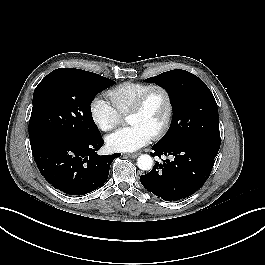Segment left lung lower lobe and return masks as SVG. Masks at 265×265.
Returning <instances> with one entry per match:
<instances>
[{"label": "left lung lower lobe", "mask_w": 265, "mask_h": 265, "mask_svg": "<svg viewBox=\"0 0 265 265\" xmlns=\"http://www.w3.org/2000/svg\"><path fill=\"white\" fill-rule=\"evenodd\" d=\"M154 153L172 156V160L155 163L146 175L140 176L142 185L166 201H177L194 194L208 179L219 148L201 141L185 140L170 145L155 144Z\"/></svg>", "instance_id": "obj_1"}]
</instances>
